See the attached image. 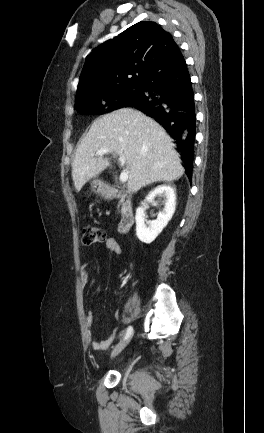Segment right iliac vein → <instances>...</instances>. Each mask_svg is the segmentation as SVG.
Here are the masks:
<instances>
[{
  "mask_svg": "<svg viewBox=\"0 0 264 433\" xmlns=\"http://www.w3.org/2000/svg\"><path fill=\"white\" fill-rule=\"evenodd\" d=\"M130 340V337L127 339H124L123 341H121L120 343H118L116 345V347L113 349L112 353H111V358L116 357L117 355H119L122 350L126 347V345L128 344Z\"/></svg>",
  "mask_w": 264,
  "mask_h": 433,
  "instance_id": "1",
  "label": "right iliac vein"
}]
</instances>
